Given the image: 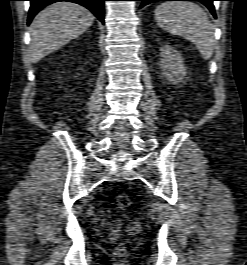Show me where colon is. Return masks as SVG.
<instances>
[{
	"instance_id": "5ec220e1",
	"label": "colon",
	"mask_w": 247,
	"mask_h": 265,
	"mask_svg": "<svg viewBox=\"0 0 247 265\" xmlns=\"http://www.w3.org/2000/svg\"><path fill=\"white\" fill-rule=\"evenodd\" d=\"M116 204L119 209L127 210L131 206V198L130 195L123 192L117 195L116 197ZM117 253L121 254L125 251V246L123 244H119L116 247Z\"/></svg>"
}]
</instances>
